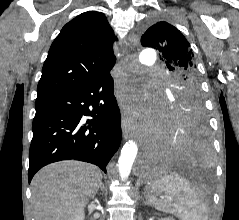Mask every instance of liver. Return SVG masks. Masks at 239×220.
<instances>
[{
	"label": "liver",
	"instance_id": "6515ba94",
	"mask_svg": "<svg viewBox=\"0 0 239 220\" xmlns=\"http://www.w3.org/2000/svg\"><path fill=\"white\" fill-rule=\"evenodd\" d=\"M101 171L80 161L47 165L33 178L35 220H74L101 182Z\"/></svg>",
	"mask_w": 239,
	"mask_h": 220
}]
</instances>
